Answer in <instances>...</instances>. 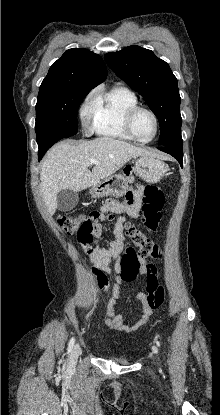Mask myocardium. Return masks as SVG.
Instances as JSON below:
<instances>
[{"label": "myocardium", "mask_w": 220, "mask_h": 415, "mask_svg": "<svg viewBox=\"0 0 220 415\" xmlns=\"http://www.w3.org/2000/svg\"><path fill=\"white\" fill-rule=\"evenodd\" d=\"M140 111H145V112L149 113L152 116V118L154 120V123H155L154 135L151 138L146 139V140H142V139L138 138L135 135L134 130H133L134 117ZM125 129L133 140H135L139 143H143V144L149 143V142L153 141L159 133V119H158L156 113L153 110H151L150 108L140 106V105H136V106L130 108L126 113V116H125Z\"/></svg>", "instance_id": "f54148a6"}]
</instances>
